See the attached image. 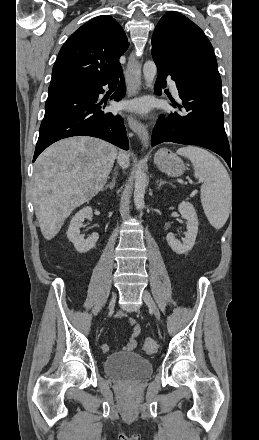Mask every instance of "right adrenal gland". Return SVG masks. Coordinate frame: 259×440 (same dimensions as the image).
Masks as SVG:
<instances>
[{"label":"right adrenal gland","mask_w":259,"mask_h":440,"mask_svg":"<svg viewBox=\"0 0 259 440\" xmlns=\"http://www.w3.org/2000/svg\"><path fill=\"white\" fill-rule=\"evenodd\" d=\"M115 182H116V181H115V178L113 177L112 180H111V182H109L108 184H106L105 189L113 190L114 187H115Z\"/></svg>","instance_id":"2a0ac1e0"}]
</instances>
